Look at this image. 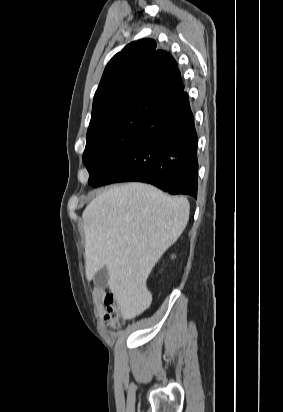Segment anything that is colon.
I'll return each instance as SVG.
<instances>
[{
	"instance_id": "colon-1",
	"label": "colon",
	"mask_w": 283,
	"mask_h": 412,
	"mask_svg": "<svg viewBox=\"0 0 283 412\" xmlns=\"http://www.w3.org/2000/svg\"><path fill=\"white\" fill-rule=\"evenodd\" d=\"M106 312L104 321L113 330H117L126 320V314L117 296L110 294L105 297Z\"/></svg>"
}]
</instances>
